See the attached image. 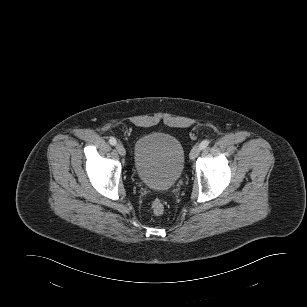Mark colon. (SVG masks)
Listing matches in <instances>:
<instances>
[{
	"instance_id": "colon-1",
	"label": "colon",
	"mask_w": 307,
	"mask_h": 307,
	"mask_svg": "<svg viewBox=\"0 0 307 307\" xmlns=\"http://www.w3.org/2000/svg\"><path fill=\"white\" fill-rule=\"evenodd\" d=\"M164 204L161 200L159 199H155L153 202H152V205H151V210L152 212L155 214V215H161L163 214L164 212Z\"/></svg>"
}]
</instances>
